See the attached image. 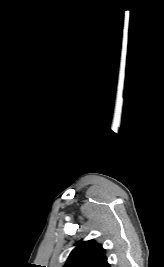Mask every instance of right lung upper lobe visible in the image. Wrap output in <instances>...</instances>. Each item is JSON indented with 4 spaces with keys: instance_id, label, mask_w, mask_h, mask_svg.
Masks as SVG:
<instances>
[{
    "instance_id": "obj_1",
    "label": "right lung upper lobe",
    "mask_w": 164,
    "mask_h": 267,
    "mask_svg": "<svg viewBox=\"0 0 164 267\" xmlns=\"http://www.w3.org/2000/svg\"><path fill=\"white\" fill-rule=\"evenodd\" d=\"M107 263L105 251L95 241L79 242L63 267H103Z\"/></svg>"
}]
</instances>
